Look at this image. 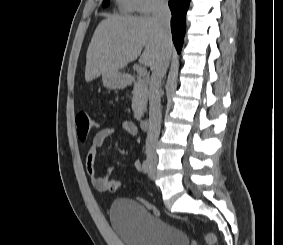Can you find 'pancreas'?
<instances>
[{"mask_svg": "<svg viewBox=\"0 0 283 245\" xmlns=\"http://www.w3.org/2000/svg\"><path fill=\"white\" fill-rule=\"evenodd\" d=\"M132 94V110L134 112V117L140 120L146 110L148 99V88L145 80L141 78L137 79Z\"/></svg>", "mask_w": 283, "mask_h": 245, "instance_id": "1", "label": "pancreas"}]
</instances>
